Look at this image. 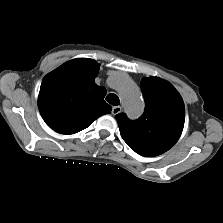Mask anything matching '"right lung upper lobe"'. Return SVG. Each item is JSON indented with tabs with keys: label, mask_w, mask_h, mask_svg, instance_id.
Returning <instances> with one entry per match:
<instances>
[{
	"label": "right lung upper lobe",
	"mask_w": 223,
	"mask_h": 223,
	"mask_svg": "<svg viewBox=\"0 0 223 223\" xmlns=\"http://www.w3.org/2000/svg\"><path fill=\"white\" fill-rule=\"evenodd\" d=\"M99 67L92 59L78 58L44 77L38 107L54 131L74 134L111 112L112 107L104 101L105 88L94 83Z\"/></svg>",
	"instance_id": "right-lung-upper-lobe-1"
}]
</instances>
